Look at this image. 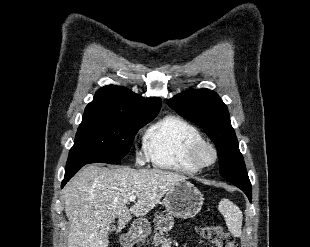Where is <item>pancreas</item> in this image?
<instances>
[{
	"label": "pancreas",
	"mask_w": 310,
	"mask_h": 247,
	"mask_svg": "<svg viewBox=\"0 0 310 247\" xmlns=\"http://www.w3.org/2000/svg\"><path fill=\"white\" fill-rule=\"evenodd\" d=\"M153 242L155 245L161 244V247H171V239H166L162 231L155 232Z\"/></svg>",
	"instance_id": "obj_1"
}]
</instances>
